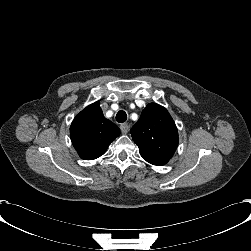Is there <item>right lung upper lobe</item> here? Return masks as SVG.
<instances>
[{
    "label": "right lung upper lobe",
    "mask_w": 251,
    "mask_h": 251,
    "mask_svg": "<svg viewBox=\"0 0 251 251\" xmlns=\"http://www.w3.org/2000/svg\"><path fill=\"white\" fill-rule=\"evenodd\" d=\"M119 135V128L104 117L99 102L82 110L70 126L72 144L79 156L85 160H93L103 155Z\"/></svg>",
    "instance_id": "right-lung-upper-lobe-1"
}]
</instances>
